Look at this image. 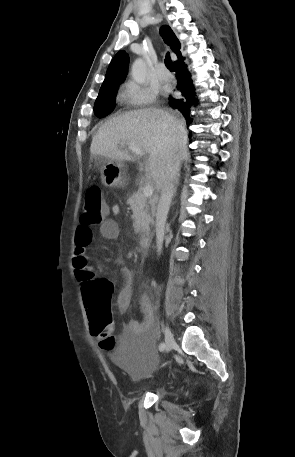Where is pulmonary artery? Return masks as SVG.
Returning <instances> with one entry per match:
<instances>
[{"label": "pulmonary artery", "instance_id": "1", "mask_svg": "<svg viewBox=\"0 0 295 457\" xmlns=\"http://www.w3.org/2000/svg\"><path fill=\"white\" fill-rule=\"evenodd\" d=\"M159 77L162 81H168L171 78L170 72L165 68V66L162 64L159 67Z\"/></svg>", "mask_w": 295, "mask_h": 457}]
</instances>
